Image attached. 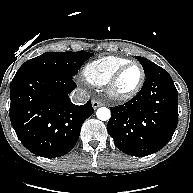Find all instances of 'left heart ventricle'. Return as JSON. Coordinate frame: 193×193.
I'll return each instance as SVG.
<instances>
[{"label":"left heart ventricle","instance_id":"b2bd125f","mask_svg":"<svg viewBox=\"0 0 193 193\" xmlns=\"http://www.w3.org/2000/svg\"><path fill=\"white\" fill-rule=\"evenodd\" d=\"M141 77L140 69L137 66L128 68L120 77L117 90L120 93H127L133 90L138 84Z\"/></svg>","mask_w":193,"mask_h":193}]
</instances>
